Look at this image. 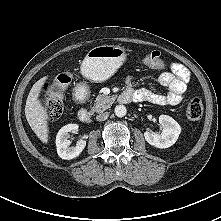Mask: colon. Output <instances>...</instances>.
<instances>
[{"label":"colon","mask_w":221,"mask_h":221,"mask_svg":"<svg viewBox=\"0 0 221 221\" xmlns=\"http://www.w3.org/2000/svg\"><path fill=\"white\" fill-rule=\"evenodd\" d=\"M144 64L151 69L161 70L165 68V60L159 51L148 53ZM71 82V74L62 72L52 82H45L41 86L42 103L48 116L56 120L63 112V92ZM187 117L190 120H199L203 114V103L199 97H192L186 109Z\"/></svg>","instance_id":"obj_1"}]
</instances>
